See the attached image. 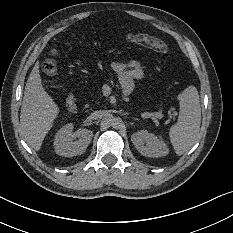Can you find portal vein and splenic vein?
<instances>
[{"mask_svg":"<svg viewBox=\"0 0 233 233\" xmlns=\"http://www.w3.org/2000/svg\"><path fill=\"white\" fill-rule=\"evenodd\" d=\"M142 117L143 118H161L162 115L161 113H158V112H148V113H144L142 114Z\"/></svg>","mask_w":233,"mask_h":233,"instance_id":"1","label":"portal vein and splenic vein"}]
</instances>
